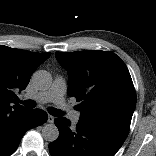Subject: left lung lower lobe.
Masks as SVG:
<instances>
[{
  "label": "left lung lower lobe",
  "instance_id": "left-lung-lower-lobe-1",
  "mask_svg": "<svg viewBox=\"0 0 156 156\" xmlns=\"http://www.w3.org/2000/svg\"><path fill=\"white\" fill-rule=\"evenodd\" d=\"M59 137L49 144L52 156H114L126 137L100 126L77 123L71 128L70 120L62 117L54 120Z\"/></svg>",
  "mask_w": 156,
  "mask_h": 156
}]
</instances>
